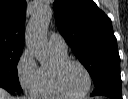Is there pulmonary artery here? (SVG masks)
Segmentation results:
<instances>
[{
    "label": "pulmonary artery",
    "mask_w": 128,
    "mask_h": 99,
    "mask_svg": "<svg viewBox=\"0 0 128 99\" xmlns=\"http://www.w3.org/2000/svg\"><path fill=\"white\" fill-rule=\"evenodd\" d=\"M49 47L53 51L67 53V44L64 38L58 33H51L49 37Z\"/></svg>",
    "instance_id": "e3ab8cb5"
}]
</instances>
